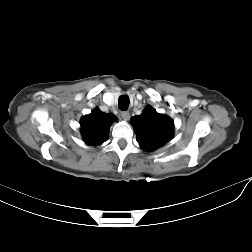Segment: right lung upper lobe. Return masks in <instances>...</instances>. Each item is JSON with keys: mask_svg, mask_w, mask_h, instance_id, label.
<instances>
[{"mask_svg": "<svg viewBox=\"0 0 252 252\" xmlns=\"http://www.w3.org/2000/svg\"><path fill=\"white\" fill-rule=\"evenodd\" d=\"M116 117L113 114L101 112L98 108L81 119V130L84 141L88 145L97 146L108 138L109 128Z\"/></svg>", "mask_w": 252, "mask_h": 252, "instance_id": "obj_1", "label": "right lung upper lobe"}]
</instances>
